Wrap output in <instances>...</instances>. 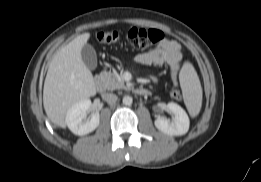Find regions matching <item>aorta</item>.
Returning <instances> with one entry per match:
<instances>
[{
    "mask_svg": "<svg viewBox=\"0 0 261 182\" xmlns=\"http://www.w3.org/2000/svg\"><path fill=\"white\" fill-rule=\"evenodd\" d=\"M133 102V99L131 96H124L123 97V104L126 106H130Z\"/></svg>",
    "mask_w": 261,
    "mask_h": 182,
    "instance_id": "obj_1",
    "label": "aorta"
}]
</instances>
